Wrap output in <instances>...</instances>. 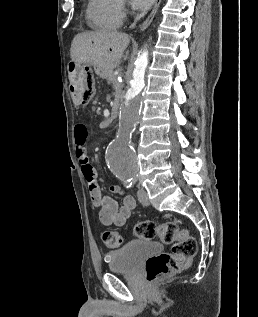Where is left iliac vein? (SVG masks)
<instances>
[{
	"label": "left iliac vein",
	"instance_id": "left-iliac-vein-1",
	"mask_svg": "<svg viewBox=\"0 0 258 317\" xmlns=\"http://www.w3.org/2000/svg\"><path fill=\"white\" fill-rule=\"evenodd\" d=\"M137 187L139 188L140 186L138 185ZM137 196H138V200L141 203H144L145 206L147 207L150 200L147 197V194L145 193L144 189H139Z\"/></svg>",
	"mask_w": 258,
	"mask_h": 317
}]
</instances>
